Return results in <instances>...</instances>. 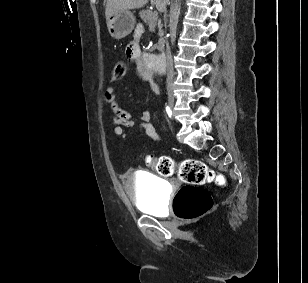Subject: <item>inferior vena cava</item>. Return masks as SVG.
Instances as JSON below:
<instances>
[{
    "mask_svg": "<svg viewBox=\"0 0 308 283\" xmlns=\"http://www.w3.org/2000/svg\"><path fill=\"white\" fill-rule=\"evenodd\" d=\"M165 10V9H164ZM174 72H173V64L172 57L170 51L167 54V86L170 87L173 82Z\"/></svg>",
    "mask_w": 308,
    "mask_h": 283,
    "instance_id": "1",
    "label": "inferior vena cava"
}]
</instances>
